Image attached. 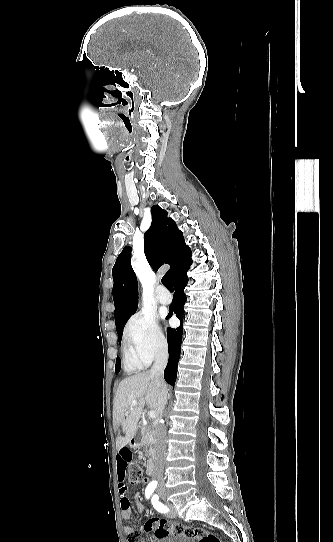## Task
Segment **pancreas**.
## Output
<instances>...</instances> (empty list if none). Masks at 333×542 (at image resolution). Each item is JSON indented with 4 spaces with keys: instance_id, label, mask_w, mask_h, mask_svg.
<instances>
[{
    "instance_id": "1",
    "label": "pancreas",
    "mask_w": 333,
    "mask_h": 542,
    "mask_svg": "<svg viewBox=\"0 0 333 542\" xmlns=\"http://www.w3.org/2000/svg\"><path fill=\"white\" fill-rule=\"evenodd\" d=\"M156 450V432L154 428H150L147 432L146 444H144V454L146 458L154 460Z\"/></svg>"
}]
</instances>
